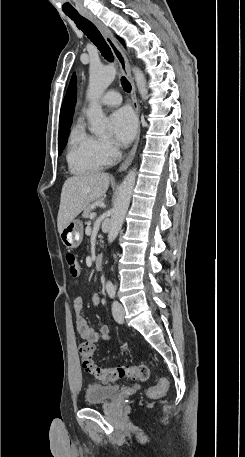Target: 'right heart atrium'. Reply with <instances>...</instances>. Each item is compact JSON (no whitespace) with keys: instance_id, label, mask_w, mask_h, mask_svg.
I'll return each mask as SVG.
<instances>
[{"instance_id":"obj_1","label":"right heart atrium","mask_w":245,"mask_h":457,"mask_svg":"<svg viewBox=\"0 0 245 457\" xmlns=\"http://www.w3.org/2000/svg\"><path fill=\"white\" fill-rule=\"evenodd\" d=\"M96 145L99 153L107 161L116 159L119 155L118 148L113 141H104L102 139H96Z\"/></svg>"}]
</instances>
